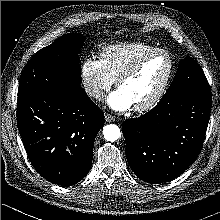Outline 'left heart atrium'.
<instances>
[{
    "mask_svg": "<svg viewBox=\"0 0 220 220\" xmlns=\"http://www.w3.org/2000/svg\"><path fill=\"white\" fill-rule=\"evenodd\" d=\"M109 106L117 111H125L130 109L133 104L126 93L120 88L113 91L108 97Z\"/></svg>",
    "mask_w": 220,
    "mask_h": 220,
    "instance_id": "1",
    "label": "left heart atrium"
}]
</instances>
